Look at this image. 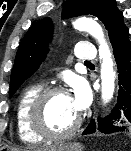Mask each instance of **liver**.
I'll list each match as a JSON object with an SVG mask.
<instances>
[{
	"mask_svg": "<svg viewBox=\"0 0 131 151\" xmlns=\"http://www.w3.org/2000/svg\"><path fill=\"white\" fill-rule=\"evenodd\" d=\"M40 150L48 151V150H52V148H50V149H48V148H41V149H39V151H40Z\"/></svg>",
	"mask_w": 131,
	"mask_h": 151,
	"instance_id": "obj_1",
	"label": "liver"
}]
</instances>
